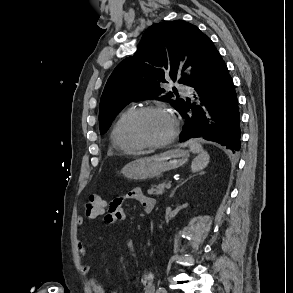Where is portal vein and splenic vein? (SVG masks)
I'll return each mask as SVG.
<instances>
[{"mask_svg":"<svg viewBox=\"0 0 293 293\" xmlns=\"http://www.w3.org/2000/svg\"><path fill=\"white\" fill-rule=\"evenodd\" d=\"M166 188L167 189H170L171 188V183L170 182L166 184Z\"/></svg>","mask_w":293,"mask_h":293,"instance_id":"1","label":"portal vein and splenic vein"}]
</instances>
